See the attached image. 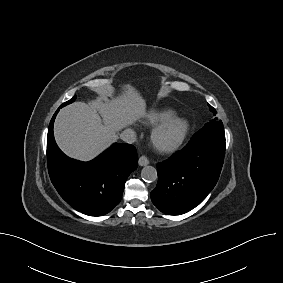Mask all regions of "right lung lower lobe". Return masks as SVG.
I'll list each match as a JSON object with an SVG mask.
<instances>
[{"label": "right lung lower lobe", "instance_id": "98d812e1", "mask_svg": "<svg viewBox=\"0 0 283 283\" xmlns=\"http://www.w3.org/2000/svg\"><path fill=\"white\" fill-rule=\"evenodd\" d=\"M53 115L47 135V163L50 179L60 196L75 210L89 215L109 213L121 200L125 182L137 169L136 149L115 143L94 160L81 162L67 157L57 146Z\"/></svg>", "mask_w": 283, "mask_h": 283}]
</instances>
